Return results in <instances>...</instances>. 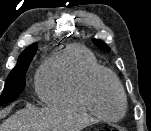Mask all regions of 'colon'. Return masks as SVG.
<instances>
[{
  "label": "colon",
  "mask_w": 151,
  "mask_h": 131,
  "mask_svg": "<svg viewBox=\"0 0 151 131\" xmlns=\"http://www.w3.org/2000/svg\"><path fill=\"white\" fill-rule=\"evenodd\" d=\"M97 131H124V130H122L121 128L113 127V128H100Z\"/></svg>",
  "instance_id": "obj_1"
}]
</instances>
